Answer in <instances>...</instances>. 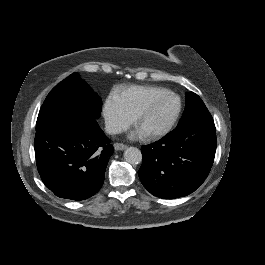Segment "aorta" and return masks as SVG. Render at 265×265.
<instances>
[{
    "instance_id": "obj_1",
    "label": "aorta",
    "mask_w": 265,
    "mask_h": 265,
    "mask_svg": "<svg viewBox=\"0 0 265 265\" xmlns=\"http://www.w3.org/2000/svg\"><path fill=\"white\" fill-rule=\"evenodd\" d=\"M124 159L129 164L137 165L142 161L141 151L136 147H129L124 152Z\"/></svg>"
}]
</instances>
